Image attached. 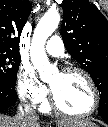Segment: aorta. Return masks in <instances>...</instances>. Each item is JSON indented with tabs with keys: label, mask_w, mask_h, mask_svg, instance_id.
I'll return each instance as SVG.
<instances>
[{
	"label": "aorta",
	"mask_w": 108,
	"mask_h": 127,
	"mask_svg": "<svg viewBox=\"0 0 108 127\" xmlns=\"http://www.w3.org/2000/svg\"><path fill=\"white\" fill-rule=\"evenodd\" d=\"M59 22L60 14L57 11L50 10L44 14L34 30L30 57L33 66L43 81H47L54 70V67L48 61L44 46L48 37L58 27Z\"/></svg>",
	"instance_id": "1"
}]
</instances>
